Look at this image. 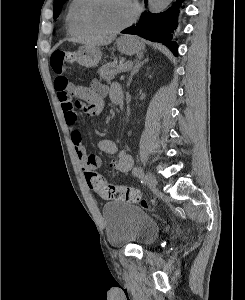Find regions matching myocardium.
Listing matches in <instances>:
<instances>
[{"label": "myocardium", "mask_w": 245, "mask_h": 300, "mask_svg": "<svg viewBox=\"0 0 245 300\" xmlns=\"http://www.w3.org/2000/svg\"><path fill=\"white\" fill-rule=\"evenodd\" d=\"M95 2H96V0H85V3L80 12L81 23L89 32H91L93 34H97V35L117 34L121 31L125 30L126 28H128L130 25H132L133 22L136 20L138 13H139L137 4L133 0H129V2L132 5V8H133V13H132L131 17L129 18V20L127 22H125L124 24H122L121 26L116 27L114 29H102V28L95 26L90 20V10Z\"/></svg>", "instance_id": "obj_1"}]
</instances>
